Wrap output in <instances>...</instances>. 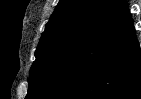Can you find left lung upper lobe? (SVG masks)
<instances>
[{
	"label": "left lung upper lobe",
	"mask_w": 141,
	"mask_h": 99,
	"mask_svg": "<svg viewBox=\"0 0 141 99\" xmlns=\"http://www.w3.org/2000/svg\"><path fill=\"white\" fill-rule=\"evenodd\" d=\"M121 1H59L37 46L25 99H37L52 85L71 57Z\"/></svg>",
	"instance_id": "5c2ea615"
}]
</instances>
